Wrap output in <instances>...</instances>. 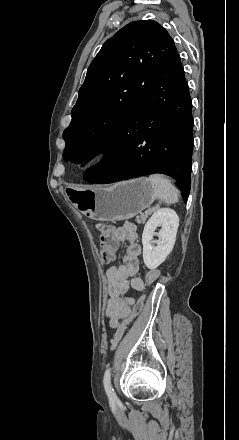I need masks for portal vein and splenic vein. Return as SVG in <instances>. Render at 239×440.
I'll return each instance as SVG.
<instances>
[{"label": "portal vein and splenic vein", "mask_w": 239, "mask_h": 440, "mask_svg": "<svg viewBox=\"0 0 239 440\" xmlns=\"http://www.w3.org/2000/svg\"><path fill=\"white\" fill-rule=\"evenodd\" d=\"M155 205L159 207L160 205H162V202H159L158 204L156 203Z\"/></svg>", "instance_id": "1"}]
</instances>
